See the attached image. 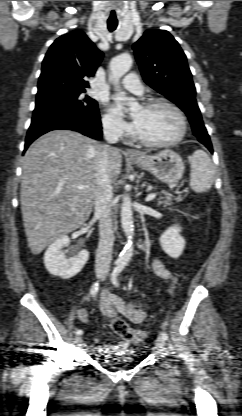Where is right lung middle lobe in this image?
Segmentation results:
<instances>
[{"label": "right lung middle lobe", "mask_w": 242, "mask_h": 416, "mask_svg": "<svg viewBox=\"0 0 242 416\" xmlns=\"http://www.w3.org/2000/svg\"><path fill=\"white\" fill-rule=\"evenodd\" d=\"M85 90L63 88L45 95H39L33 115L46 110H62L71 114L87 117L98 113L97 102L87 95Z\"/></svg>", "instance_id": "1"}]
</instances>
